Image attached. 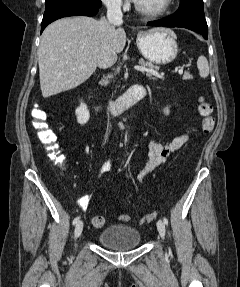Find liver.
I'll list each match as a JSON object with an SVG mask.
<instances>
[{
    "instance_id": "liver-1",
    "label": "liver",
    "mask_w": 240,
    "mask_h": 287,
    "mask_svg": "<svg viewBox=\"0 0 240 287\" xmlns=\"http://www.w3.org/2000/svg\"><path fill=\"white\" fill-rule=\"evenodd\" d=\"M125 44L121 23L110 24L105 18L68 17L51 23L38 49L43 97L71 90L85 82L97 67L113 65Z\"/></svg>"
}]
</instances>
